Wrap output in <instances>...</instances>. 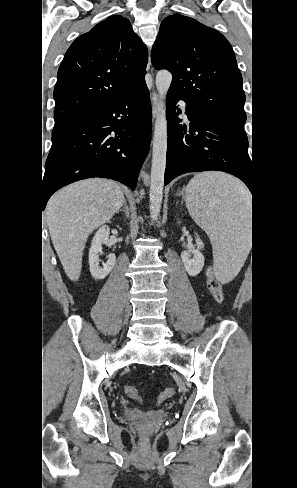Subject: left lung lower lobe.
I'll return each instance as SVG.
<instances>
[{"label":"left lung lower lobe","instance_id":"0a47b994","mask_svg":"<svg viewBox=\"0 0 297 488\" xmlns=\"http://www.w3.org/2000/svg\"><path fill=\"white\" fill-rule=\"evenodd\" d=\"M178 100L183 99L168 91L165 185L187 172L218 170L240 178L253 193V169L245 131L200 115L187 104L186 114L191 123L182 126Z\"/></svg>","mask_w":297,"mask_h":488}]
</instances>
